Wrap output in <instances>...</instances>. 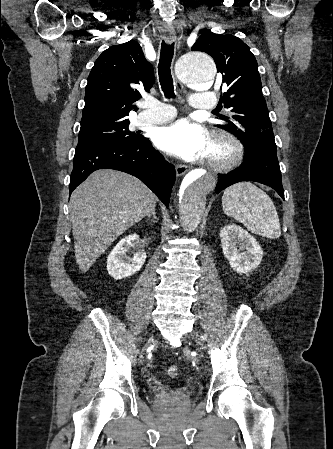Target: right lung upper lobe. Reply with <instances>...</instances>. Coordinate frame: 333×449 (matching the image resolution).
<instances>
[{
  "label": "right lung upper lobe",
  "instance_id": "1",
  "mask_svg": "<svg viewBox=\"0 0 333 449\" xmlns=\"http://www.w3.org/2000/svg\"><path fill=\"white\" fill-rule=\"evenodd\" d=\"M154 83L152 65L136 41L112 46L96 60L85 90L81 128L97 123L128 120L132 103Z\"/></svg>",
  "mask_w": 333,
  "mask_h": 449
}]
</instances>
